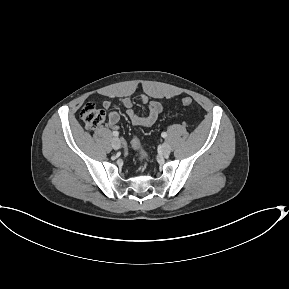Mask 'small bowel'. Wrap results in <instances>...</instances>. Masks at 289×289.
Here are the masks:
<instances>
[{"label":"small bowel","mask_w":289,"mask_h":289,"mask_svg":"<svg viewBox=\"0 0 289 289\" xmlns=\"http://www.w3.org/2000/svg\"><path fill=\"white\" fill-rule=\"evenodd\" d=\"M140 101L142 104L148 105L149 112L145 116H140L132 110V102L129 99L121 100L120 103L122 106L128 108L127 115L134 126L150 127L162 113L163 105L158 101L150 100L146 95H141ZM103 107L108 112V126L115 128L120 120L119 113L113 109L111 101H104Z\"/></svg>","instance_id":"obj_1"}]
</instances>
